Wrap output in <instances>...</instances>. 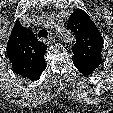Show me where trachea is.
Segmentation results:
<instances>
[{
    "label": "trachea",
    "mask_w": 113,
    "mask_h": 113,
    "mask_svg": "<svg viewBox=\"0 0 113 113\" xmlns=\"http://www.w3.org/2000/svg\"><path fill=\"white\" fill-rule=\"evenodd\" d=\"M47 36H48V32L45 29L40 30L38 33L39 38H47Z\"/></svg>",
    "instance_id": "trachea-1"
}]
</instances>
